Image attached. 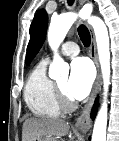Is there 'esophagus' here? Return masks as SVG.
I'll use <instances>...</instances> for the list:
<instances>
[{"instance_id": "obj_1", "label": "esophagus", "mask_w": 119, "mask_h": 141, "mask_svg": "<svg viewBox=\"0 0 119 141\" xmlns=\"http://www.w3.org/2000/svg\"><path fill=\"white\" fill-rule=\"evenodd\" d=\"M80 4L82 5L83 2L80 1ZM90 30V34H91V45H90V57L92 58V60L94 61V64L97 68V76H96V80L94 82L91 94L88 98V101L86 103V105L84 106L80 116L76 119L75 121V128L80 130L83 133H86L89 131L90 126H91V121H90V110L93 106L95 97L100 89V85H101V72H100V66H99V62H98V57H97V52H96V42H95V37L93 34V31L91 29V27H88Z\"/></svg>"}]
</instances>
